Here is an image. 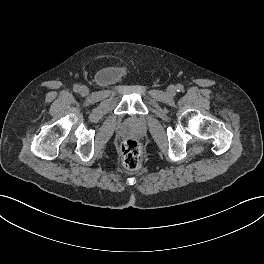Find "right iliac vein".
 Masks as SVG:
<instances>
[{
	"label": "right iliac vein",
	"mask_w": 264,
	"mask_h": 264,
	"mask_svg": "<svg viewBox=\"0 0 264 264\" xmlns=\"http://www.w3.org/2000/svg\"><path fill=\"white\" fill-rule=\"evenodd\" d=\"M80 93L82 95H87L89 93V90L86 86H82V87H80Z\"/></svg>",
	"instance_id": "right-iliac-vein-1"
}]
</instances>
